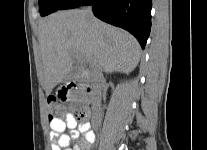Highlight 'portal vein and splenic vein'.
<instances>
[{"label":"portal vein and splenic vein","mask_w":207,"mask_h":150,"mask_svg":"<svg viewBox=\"0 0 207 150\" xmlns=\"http://www.w3.org/2000/svg\"><path fill=\"white\" fill-rule=\"evenodd\" d=\"M77 61L82 63V59L80 57H77Z\"/></svg>","instance_id":"obj_1"}]
</instances>
